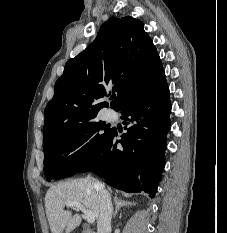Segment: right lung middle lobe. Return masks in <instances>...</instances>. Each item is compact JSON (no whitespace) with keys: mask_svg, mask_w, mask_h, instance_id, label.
<instances>
[{"mask_svg":"<svg viewBox=\"0 0 227 233\" xmlns=\"http://www.w3.org/2000/svg\"><path fill=\"white\" fill-rule=\"evenodd\" d=\"M112 129L95 120L80 125L44 145V173L48 181L72 176L88 166Z\"/></svg>","mask_w":227,"mask_h":233,"instance_id":"1","label":"right lung middle lobe"}]
</instances>
